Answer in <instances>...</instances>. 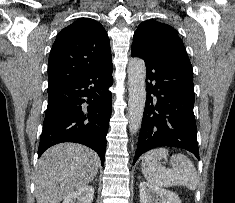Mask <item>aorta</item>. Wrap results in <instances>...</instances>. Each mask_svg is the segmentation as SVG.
Returning a JSON list of instances; mask_svg holds the SVG:
<instances>
[{"instance_id":"762f6f07","label":"aorta","mask_w":235,"mask_h":203,"mask_svg":"<svg viewBox=\"0 0 235 203\" xmlns=\"http://www.w3.org/2000/svg\"><path fill=\"white\" fill-rule=\"evenodd\" d=\"M129 85V128L136 133L142 124L146 102V66L143 59L131 58L127 68Z\"/></svg>"}]
</instances>
